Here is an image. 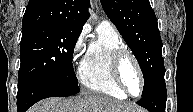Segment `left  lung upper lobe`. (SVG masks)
<instances>
[{
	"label": "left lung upper lobe",
	"instance_id": "obj_1",
	"mask_svg": "<svg viewBox=\"0 0 193 112\" xmlns=\"http://www.w3.org/2000/svg\"><path fill=\"white\" fill-rule=\"evenodd\" d=\"M102 7L135 55L144 77L142 97L165 73L162 41L149 0H100Z\"/></svg>",
	"mask_w": 193,
	"mask_h": 112
}]
</instances>
